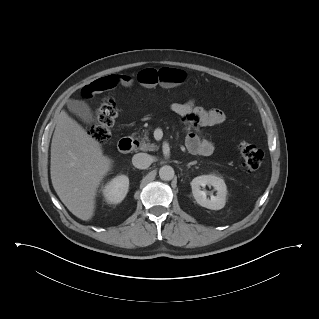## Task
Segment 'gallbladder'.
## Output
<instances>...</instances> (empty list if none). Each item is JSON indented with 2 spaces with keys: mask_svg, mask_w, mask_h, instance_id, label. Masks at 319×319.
<instances>
[{
  "mask_svg": "<svg viewBox=\"0 0 319 319\" xmlns=\"http://www.w3.org/2000/svg\"><path fill=\"white\" fill-rule=\"evenodd\" d=\"M67 106L72 113L76 114L85 123L94 122L93 112L85 102L69 100Z\"/></svg>",
  "mask_w": 319,
  "mask_h": 319,
  "instance_id": "obj_1",
  "label": "gallbladder"
}]
</instances>
